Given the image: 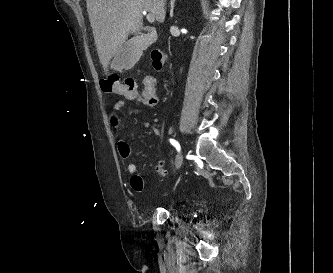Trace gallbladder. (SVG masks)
I'll return each mask as SVG.
<instances>
[{"mask_svg":"<svg viewBox=\"0 0 333 273\" xmlns=\"http://www.w3.org/2000/svg\"><path fill=\"white\" fill-rule=\"evenodd\" d=\"M147 45L148 41L146 37L133 38L127 41L114 59L115 69L119 71L132 69L139 61Z\"/></svg>","mask_w":333,"mask_h":273,"instance_id":"obj_1","label":"gallbladder"}]
</instances>
